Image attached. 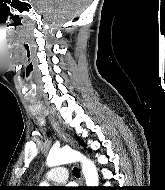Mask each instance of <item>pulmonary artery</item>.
Here are the masks:
<instances>
[{
    "instance_id": "pulmonary-artery-1",
    "label": "pulmonary artery",
    "mask_w": 165,
    "mask_h": 190,
    "mask_svg": "<svg viewBox=\"0 0 165 190\" xmlns=\"http://www.w3.org/2000/svg\"><path fill=\"white\" fill-rule=\"evenodd\" d=\"M45 177L55 183H64L67 181L69 174L65 167L58 166L48 171Z\"/></svg>"
}]
</instances>
